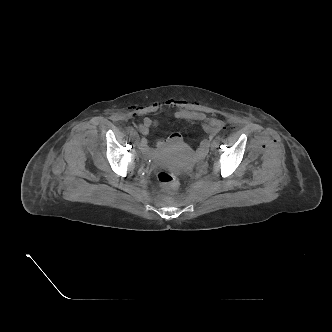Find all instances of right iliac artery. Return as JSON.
Here are the masks:
<instances>
[{"label": "right iliac artery", "mask_w": 332, "mask_h": 332, "mask_svg": "<svg viewBox=\"0 0 332 332\" xmlns=\"http://www.w3.org/2000/svg\"><path fill=\"white\" fill-rule=\"evenodd\" d=\"M127 130H128V132H130V133L134 132V128H133V127H128Z\"/></svg>", "instance_id": "obj_1"}]
</instances>
